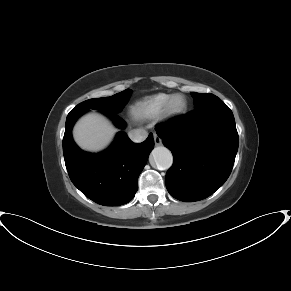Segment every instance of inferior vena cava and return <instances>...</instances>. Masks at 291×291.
Here are the masks:
<instances>
[{"mask_svg": "<svg viewBox=\"0 0 291 291\" xmlns=\"http://www.w3.org/2000/svg\"><path fill=\"white\" fill-rule=\"evenodd\" d=\"M128 136L131 141L135 143H141L147 138L148 133L145 129L139 128L129 131Z\"/></svg>", "mask_w": 291, "mask_h": 291, "instance_id": "602c4592", "label": "inferior vena cava"}]
</instances>
